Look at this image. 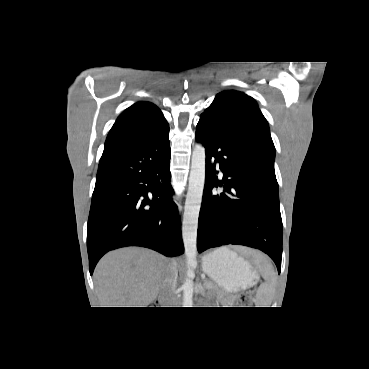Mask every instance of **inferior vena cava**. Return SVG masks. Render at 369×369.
Instances as JSON below:
<instances>
[{
    "label": "inferior vena cava",
    "mask_w": 369,
    "mask_h": 369,
    "mask_svg": "<svg viewBox=\"0 0 369 369\" xmlns=\"http://www.w3.org/2000/svg\"><path fill=\"white\" fill-rule=\"evenodd\" d=\"M177 277V266L170 264L160 290V298L164 302L165 307H178V297L176 295Z\"/></svg>",
    "instance_id": "obj_1"
}]
</instances>
